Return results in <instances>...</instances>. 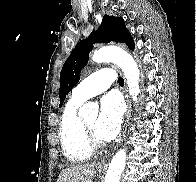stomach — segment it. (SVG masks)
Returning <instances> with one entry per match:
<instances>
[{
	"mask_svg": "<svg viewBox=\"0 0 196 182\" xmlns=\"http://www.w3.org/2000/svg\"><path fill=\"white\" fill-rule=\"evenodd\" d=\"M97 172H98V173H102V172H103V169L98 168V169H97Z\"/></svg>",
	"mask_w": 196,
	"mask_h": 182,
	"instance_id": "1",
	"label": "stomach"
}]
</instances>
